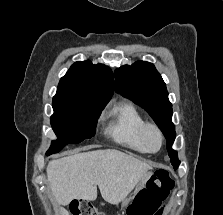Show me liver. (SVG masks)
Masks as SVG:
<instances>
[{
    "label": "liver",
    "mask_w": 223,
    "mask_h": 215,
    "mask_svg": "<svg viewBox=\"0 0 223 215\" xmlns=\"http://www.w3.org/2000/svg\"><path fill=\"white\" fill-rule=\"evenodd\" d=\"M148 169L153 167L118 149H97L52 159L46 171L56 201L68 205L72 199H96V185L103 199L119 203ZM60 215L69 213L61 207Z\"/></svg>",
    "instance_id": "obj_1"
}]
</instances>
